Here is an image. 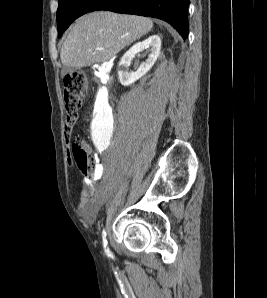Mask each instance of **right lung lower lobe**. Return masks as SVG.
I'll use <instances>...</instances> for the list:
<instances>
[{
  "label": "right lung lower lobe",
  "instance_id": "98d812e1",
  "mask_svg": "<svg viewBox=\"0 0 267 298\" xmlns=\"http://www.w3.org/2000/svg\"><path fill=\"white\" fill-rule=\"evenodd\" d=\"M188 5L189 0H99L90 12L108 10L162 19L186 39L189 30Z\"/></svg>",
  "mask_w": 267,
  "mask_h": 298
}]
</instances>
